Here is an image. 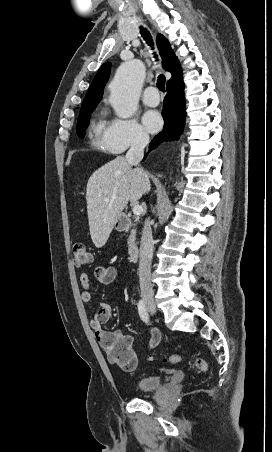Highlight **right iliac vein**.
Listing matches in <instances>:
<instances>
[{"label": "right iliac vein", "instance_id": "obj_1", "mask_svg": "<svg viewBox=\"0 0 272 452\" xmlns=\"http://www.w3.org/2000/svg\"><path fill=\"white\" fill-rule=\"evenodd\" d=\"M146 307L148 308L149 311H151L152 313L156 314L157 313V309L155 306V303L152 301H146L145 302Z\"/></svg>", "mask_w": 272, "mask_h": 452}]
</instances>
